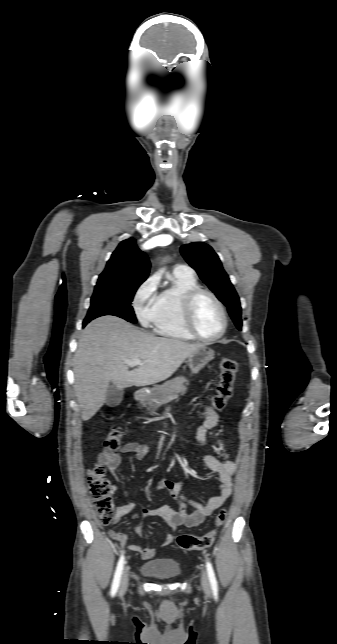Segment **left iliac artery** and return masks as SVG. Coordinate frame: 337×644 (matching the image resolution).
<instances>
[{
    "label": "left iliac artery",
    "instance_id": "left-iliac-artery-1",
    "mask_svg": "<svg viewBox=\"0 0 337 644\" xmlns=\"http://www.w3.org/2000/svg\"><path fill=\"white\" fill-rule=\"evenodd\" d=\"M206 569H207V573H208V577H209V581H210L212 591L214 593H217V591H218L217 580H216V577H215L213 567H212L211 563L208 562V561L206 562Z\"/></svg>",
    "mask_w": 337,
    "mask_h": 644
}]
</instances>
